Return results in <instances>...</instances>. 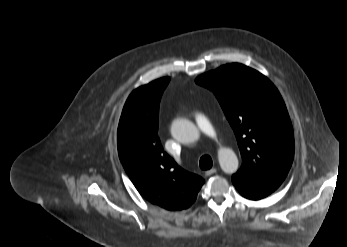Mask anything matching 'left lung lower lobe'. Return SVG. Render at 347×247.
<instances>
[{
  "mask_svg": "<svg viewBox=\"0 0 347 247\" xmlns=\"http://www.w3.org/2000/svg\"><path fill=\"white\" fill-rule=\"evenodd\" d=\"M232 182L242 196L251 200H259L266 197L281 184L277 182H255L236 174L232 176Z\"/></svg>",
  "mask_w": 347,
  "mask_h": 247,
  "instance_id": "1",
  "label": "left lung lower lobe"
}]
</instances>
